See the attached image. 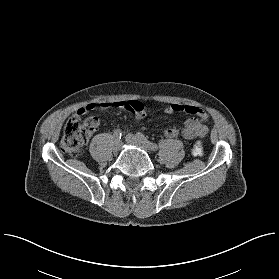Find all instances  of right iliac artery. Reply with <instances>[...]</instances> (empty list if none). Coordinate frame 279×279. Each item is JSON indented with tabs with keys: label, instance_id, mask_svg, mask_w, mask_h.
<instances>
[{
	"label": "right iliac artery",
	"instance_id": "82829eb1",
	"mask_svg": "<svg viewBox=\"0 0 279 279\" xmlns=\"http://www.w3.org/2000/svg\"><path fill=\"white\" fill-rule=\"evenodd\" d=\"M121 130L120 129H116L115 131H114V134H113V136H114V140H115V142L116 141H119L120 139H121Z\"/></svg>",
	"mask_w": 279,
	"mask_h": 279
}]
</instances>
